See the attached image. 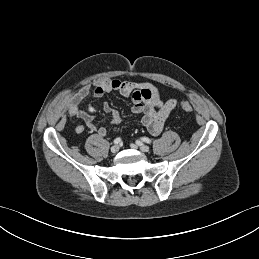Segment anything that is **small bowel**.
<instances>
[{
    "mask_svg": "<svg viewBox=\"0 0 259 259\" xmlns=\"http://www.w3.org/2000/svg\"><path fill=\"white\" fill-rule=\"evenodd\" d=\"M110 92H118L123 96L131 97L133 102L132 111L142 116L141 123L154 136L161 133L165 121L177 106L175 98L163 100L160 97L158 88L150 82L102 79L95 84L88 83L83 85L69 94L63 103V109L70 117L83 121L82 125L76 127L77 133H82L85 129H88L100 137L107 136L108 131L106 128L95 125L94 110H82L80 104L91 93L95 97H102ZM103 111L111 116L112 125H117L120 122V113L111 104L103 103ZM60 122H63V118L60 119Z\"/></svg>",
    "mask_w": 259,
    "mask_h": 259,
    "instance_id": "1",
    "label": "small bowel"
}]
</instances>
